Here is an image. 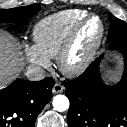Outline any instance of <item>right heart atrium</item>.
Wrapping results in <instances>:
<instances>
[{
    "label": "right heart atrium",
    "mask_w": 127,
    "mask_h": 127,
    "mask_svg": "<svg viewBox=\"0 0 127 127\" xmlns=\"http://www.w3.org/2000/svg\"><path fill=\"white\" fill-rule=\"evenodd\" d=\"M23 52L26 60L34 69L41 70L49 67V58L44 56L35 45L25 43L23 45Z\"/></svg>",
    "instance_id": "right-heart-atrium-1"
}]
</instances>
